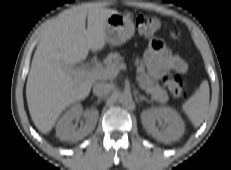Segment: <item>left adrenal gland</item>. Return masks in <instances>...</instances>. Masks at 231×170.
Wrapping results in <instances>:
<instances>
[{"instance_id":"left-adrenal-gland-1","label":"left adrenal gland","mask_w":231,"mask_h":170,"mask_svg":"<svg viewBox=\"0 0 231 170\" xmlns=\"http://www.w3.org/2000/svg\"><path fill=\"white\" fill-rule=\"evenodd\" d=\"M138 97H139V100L140 101H147V102H150L145 96H143V95H138Z\"/></svg>"}]
</instances>
